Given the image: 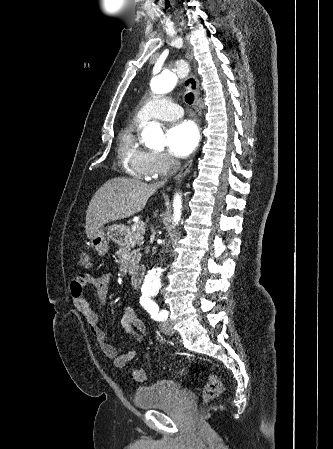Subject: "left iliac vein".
Instances as JSON below:
<instances>
[{
  "instance_id": "4c4485c4",
  "label": "left iliac vein",
  "mask_w": 333,
  "mask_h": 449,
  "mask_svg": "<svg viewBox=\"0 0 333 449\" xmlns=\"http://www.w3.org/2000/svg\"><path fill=\"white\" fill-rule=\"evenodd\" d=\"M160 330L166 335H171L173 333L172 326L168 321H165L160 325Z\"/></svg>"
}]
</instances>
